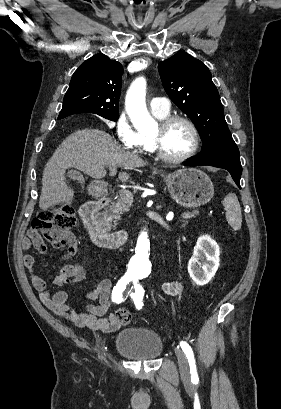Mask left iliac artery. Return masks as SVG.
I'll return each instance as SVG.
<instances>
[{"instance_id": "44dca946", "label": "left iliac artery", "mask_w": 281, "mask_h": 409, "mask_svg": "<svg viewBox=\"0 0 281 409\" xmlns=\"http://www.w3.org/2000/svg\"><path fill=\"white\" fill-rule=\"evenodd\" d=\"M130 297L132 298V300L134 301V304L136 306L137 309H141L143 306V296H144V290L142 288V286L138 283V278H133V286L130 290ZM180 346L182 348V350L184 351V353L186 354L187 358H188V362L190 365V373L193 379H197V371H196V365H195V359H194V355H193V351L192 348L190 347V345L184 341H182L180 343Z\"/></svg>"}]
</instances>
